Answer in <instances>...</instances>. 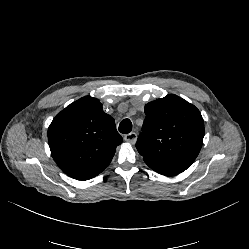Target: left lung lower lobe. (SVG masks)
I'll use <instances>...</instances> for the list:
<instances>
[{
    "instance_id": "obj_1",
    "label": "left lung lower lobe",
    "mask_w": 249,
    "mask_h": 249,
    "mask_svg": "<svg viewBox=\"0 0 249 249\" xmlns=\"http://www.w3.org/2000/svg\"><path fill=\"white\" fill-rule=\"evenodd\" d=\"M152 169L154 171H156V172H158L160 174L166 175V176H173V175L178 174L177 172H174V171H171V170H167V169H163V168H160V167H154Z\"/></svg>"
}]
</instances>
